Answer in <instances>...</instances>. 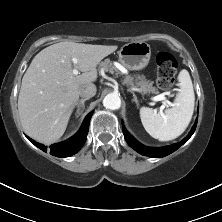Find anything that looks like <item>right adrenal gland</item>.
I'll use <instances>...</instances> for the list:
<instances>
[{
	"mask_svg": "<svg viewBox=\"0 0 222 222\" xmlns=\"http://www.w3.org/2000/svg\"><path fill=\"white\" fill-rule=\"evenodd\" d=\"M88 100L87 98L84 99H80L78 100V102L76 103V107H77V111L76 114L80 115L82 113V111L85 109V101Z\"/></svg>",
	"mask_w": 222,
	"mask_h": 222,
	"instance_id": "right-adrenal-gland-1",
	"label": "right adrenal gland"
}]
</instances>
